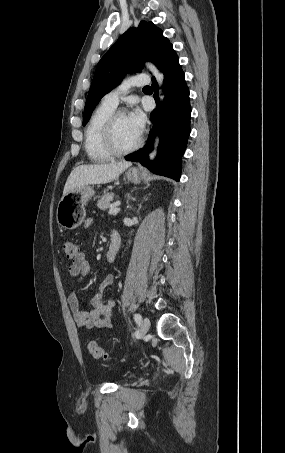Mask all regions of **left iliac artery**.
I'll use <instances>...</instances> for the list:
<instances>
[{
    "instance_id": "1",
    "label": "left iliac artery",
    "mask_w": 285,
    "mask_h": 453,
    "mask_svg": "<svg viewBox=\"0 0 285 453\" xmlns=\"http://www.w3.org/2000/svg\"><path fill=\"white\" fill-rule=\"evenodd\" d=\"M134 320H135V322H136L137 324H140V323H141V320H142L141 315L136 313V314L134 315Z\"/></svg>"
}]
</instances>
